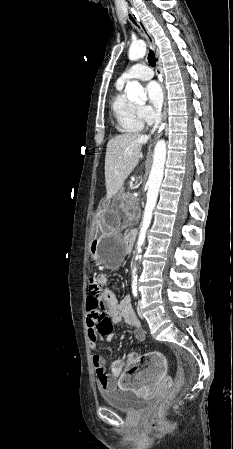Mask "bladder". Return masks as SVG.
Listing matches in <instances>:
<instances>
[{"instance_id":"bladder-1","label":"bladder","mask_w":233,"mask_h":449,"mask_svg":"<svg viewBox=\"0 0 233 449\" xmlns=\"http://www.w3.org/2000/svg\"><path fill=\"white\" fill-rule=\"evenodd\" d=\"M104 402L122 412L135 413L150 408L152 400H142L136 397L131 389H105L102 390Z\"/></svg>"}]
</instances>
